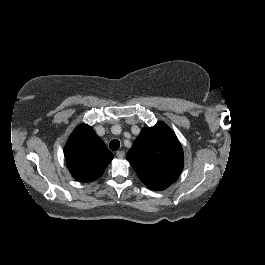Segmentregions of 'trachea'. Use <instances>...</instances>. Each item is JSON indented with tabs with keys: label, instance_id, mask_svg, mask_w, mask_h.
<instances>
[{
	"label": "trachea",
	"instance_id": "obj_1",
	"mask_svg": "<svg viewBox=\"0 0 265 265\" xmlns=\"http://www.w3.org/2000/svg\"><path fill=\"white\" fill-rule=\"evenodd\" d=\"M109 147H110V149L111 150H113V151H116V150H118L119 149V147H120V142H119V140H112L111 142H110V144H109Z\"/></svg>",
	"mask_w": 265,
	"mask_h": 265
}]
</instances>
